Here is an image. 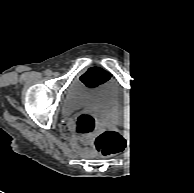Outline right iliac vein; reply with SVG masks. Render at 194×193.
I'll return each instance as SVG.
<instances>
[{
	"mask_svg": "<svg viewBox=\"0 0 194 193\" xmlns=\"http://www.w3.org/2000/svg\"><path fill=\"white\" fill-rule=\"evenodd\" d=\"M54 76H55V77H58V76H59V73H58V72H55V73H54Z\"/></svg>",
	"mask_w": 194,
	"mask_h": 193,
	"instance_id": "right-iliac-vein-1",
	"label": "right iliac vein"
}]
</instances>
